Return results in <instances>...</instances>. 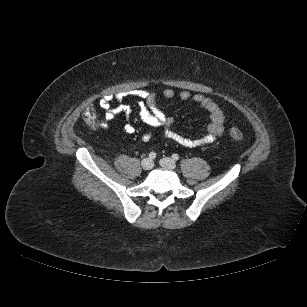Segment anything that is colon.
<instances>
[{
    "mask_svg": "<svg viewBox=\"0 0 307 307\" xmlns=\"http://www.w3.org/2000/svg\"><path fill=\"white\" fill-rule=\"evenodd\" d=\"M84 120L85 122L90 125V126H94L96 123V114H95V110L93 107L89 106L86 108L85 112H84ZM229 133L232 137V139L237 142V143H242L244 138H243V134L241 132V130L235 125V124H231L229 126ZM150 138V134L149 133H145L143 135V140L147 141Z\"/></svg>",
    "mask_w": 307,
    "mask_h": 307,
    "instance_id": "obj_1",
    "label": "colon"
}]
</instances>
